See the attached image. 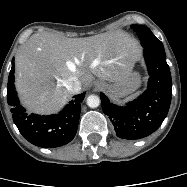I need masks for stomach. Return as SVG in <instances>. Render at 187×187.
I'll return each mask as SVG.
<instances>
[{"label": "stomach", "mask_w": 187, "mask_h": 187, "mask_svg": "<svg viewBox=\"0 0 187 187\" xmlns=\"http://www.w3.org/2000/svg\"><path fill=\"white\" fill-rule=\"evenodd\" d=\"M141 84L138 72L131 70L124 80L106 85V91L111 99L119 100L134 92Z\"/></svg>", "instance_id": "1"}]
</instances>
